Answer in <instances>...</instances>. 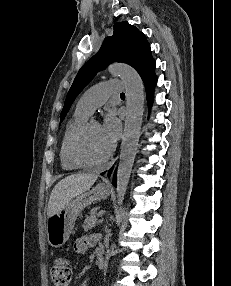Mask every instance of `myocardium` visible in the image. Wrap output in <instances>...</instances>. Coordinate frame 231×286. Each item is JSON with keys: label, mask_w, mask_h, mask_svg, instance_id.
Returning <instances> with one entry per match:
<instances>
[{"label": "myocardium", "mask_w": 231, "mask_h": 286, "mask_svg": "<svg viewBox=\"0 0 231 286\" xmlns=\"http://www.w3.org/2000/svg\"><path fill=\"white\" fill-rule=\"evenodd\" d=\"M99 125V123L94 119H87L74 133V135L71 138L70 144H69V156L72 162H74L79 167H95L105 164L110 160L112 157L114 151H115V145L112 144L109 152L101 159L99 160H90L86 158L80 149L82 139L87 132L88 128L93 125Z\"/></svg>", "instance_id": "f54148a6"}]
</instances>
